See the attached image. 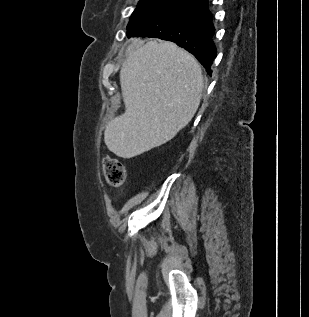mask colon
Masks as SVG:
<instances>
[{
    "label": "colon",
    "mask_w": 309,
    "mask_h": 317,
    "mask_svg": "<svg viewBox=\"0 0 309 317\" xmlns=\"http://www.w3.org/2000/svg\"><path fill=\"white\" fill-rule=\"evenodd\" d=\"M103 171L108 184L118 187L125 180V169L116 159L106 158L103 163Z\"/></svg>",
    "instance_id": "5ec220e1"
}]
</instances>
